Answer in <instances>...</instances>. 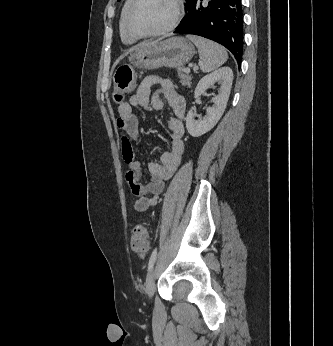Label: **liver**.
Returning a JSON list of instances; mask_svg holds the SVG:
<instances>
[{"mask_svg":"<svg viewBox=\"0 0 333 346\" xmlns=\"http://www.w3.org/2000/svg\"><path fill=\"white\" fill-rule=\"evenodd\" d=\"M156 42V41H155ZM151 43H153V42H151ZM146 44H149V43H142L140 46H144V45H146Z\"/></svg>","mask_w":333,"mask_h":346,"instance_id":"6515ba94","label":"liver"}]
</instances>
